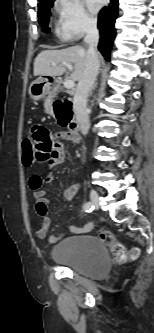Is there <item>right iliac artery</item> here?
<instances>
[{"instance_id":"82829eb1","label":"right iliac artery","mask_w":154,"mask_h":333,"mask_svg":"<svg viewBox=\"0 0 154 333\" xmlns=\"http://www.w3.org/2000/svg\"><path fill=\"white\" fill-rule=\"evenodd\" d=\"M83 209L85 212L89 213L94 209V206L91 202H87L84 204Z\"/></svg>"}]
</instances>
